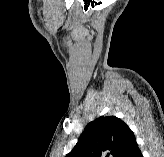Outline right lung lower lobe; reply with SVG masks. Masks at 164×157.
Returning a JSON list of instances; mask_svg holds the SVG:
<instances>
[{
  "label": "right lung lower lobe",
  "instance_id": "98d812e1",
  "mask_svg": "<svg viewBox=\"0 0 164 157\" xmlns=\"http://www.w3.org/2000/svg\"><path fill=\"white\" fill-rule=\"evenodd\" d=\"M122 157H143L135 140L130 144Z\"/></svg>",
  "mask_w": 164,
  "mask_h": 157
}]
</instances>
